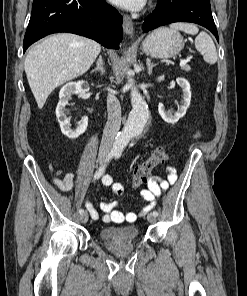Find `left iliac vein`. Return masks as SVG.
I'll return each mask as SVG.
<instances>
[{
    "instance_id": "left-iliac-vein-1",
    "label": "left iliac vein",
    "mask_w": 247,
    "mask_h": 296,
    "mask_svg": "<svg viewBox=\"0 0 247 296\" xmlns=\"http://www.w3.org/2000/svg\"><path fill=\"white\" fill-rule=\"evenodd\" d=\"M147 220L150 223H155L157 220V216L153 215V213H150L147 215Z\"/></svg>"
}]
</instances>
